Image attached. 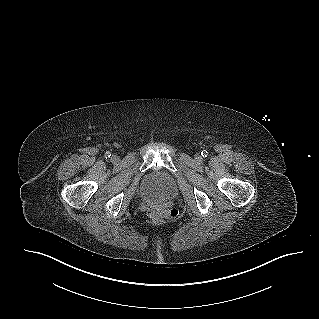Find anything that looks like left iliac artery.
I'll return each mask as SVG.
<instances>
[{"mask_svg":"<svg viewBox=\"0 0 319 319\" xmlns=\"http://www.w3.org/2000/svg\"><path fill=\"white\" fill-rule=\"evenodd\" d=\"M201 155H202L203 157H207L208 152H207L206 150H203V151L201 152Z\"/></svg>","mask_w":319,"mask_h":319,"instance_id":"obj_1","label":"left iliac artery"}]
</instances>
